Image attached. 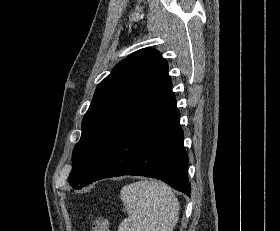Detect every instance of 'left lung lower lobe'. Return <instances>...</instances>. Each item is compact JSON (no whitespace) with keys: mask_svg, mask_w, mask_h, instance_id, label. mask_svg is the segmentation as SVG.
<instances>
[{"mask_svg":"<svg viewBox=\"0 0 280 231\" xmlns=\"http://www.w3.org/2000/svg\"><path fill=\"white\" fill-rule=\"evenodd\" d=\"M174 94L122 130L103 150L81 189L94 181L123 175L160 179L190 196L188 156Z\"/></svg>","mask_w":280,"mask_h":231,"instance_id":"obj_1","label":"left lung lower lobe"}]
</instances>
